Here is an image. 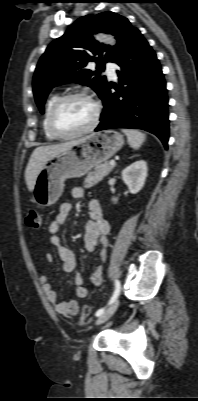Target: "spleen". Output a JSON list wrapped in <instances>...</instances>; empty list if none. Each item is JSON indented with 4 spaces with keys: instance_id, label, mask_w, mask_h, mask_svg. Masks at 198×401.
<instances>
[{
    "instance_id": "1",
    "label": "spleen",
    "mask_w": 198,
    "mask_h": 401,
    "mask_svg": "<svg viewBox=\"0 0 198 401\" xmlns=\"http://www.w3.org/2000/svg\"><path fill=\"white\" fill-rule=\"evenodd\" d=\"M122 132L127 136L128 144L133 149H139L145 142V133L132 129H123Z\"/></svg>"
}]
</instances>
